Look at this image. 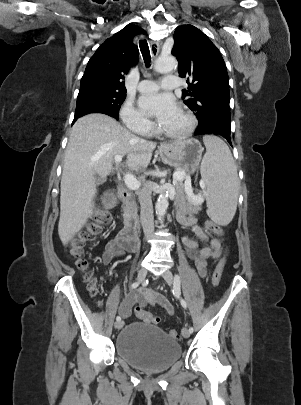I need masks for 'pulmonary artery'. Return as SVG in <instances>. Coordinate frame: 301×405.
<instances>
[{"instance_id": "pulmonary-artery-1", "label": "pulmonary artery", "mask_w": 301, "mask_h": 405, "mask_svg": "<svg viewBox=\"0 0 301 405\" xmlns=\"http://www.w3.org/2000/svg\"><path fill=\"white\" fill-rule=\"evenodd\" d=\"M180 85L178 77L168 75L160 83L153 80H143L138 85V90L142 93H153L159 88L174 89Z\"/></svg>"}]
</instances>
